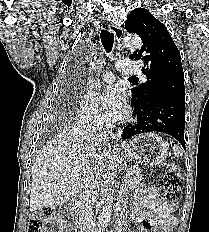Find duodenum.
<instances>
[{
  "label": "duodenum",
  "instance_id": "1",
  "mask_svg": "<svg viewBox=\"0 0 209 232\" xmlns=\"http://www.w3.org/2000/svg\"><path fill=\"white\" fill-rule=\"evenodd\" d=\"M74 210H75V202L69 203V205L66 207L65 217H63V221L61 223V230L63 232L74 231L76 225Z\"/></svg>",
  "mask_w": 209,
  "mask_h": 232
}]
</instances>
